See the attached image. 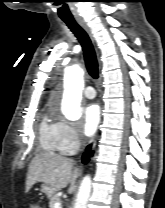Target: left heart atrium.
<instances>
[{
  "label": "left heart atrium",
  "instance_id": "1",
  "mask_svg": "<svg viewBox=\"0 0 165 208\" xmlns=\"http://www.w3.org/2000/svg\"><path fill=\"white\" fill-rule=\"evenodd\" d=\"M100 108L97 104H90L83 111L82 129L86 136H91L95 133L100 123Z\"/></svg>",
  "mask_w": 165,
  "mask_h": 208
}]
</instances>
